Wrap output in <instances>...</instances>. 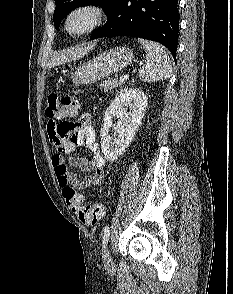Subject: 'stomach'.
Wrapping results in <instances>:
<instances>
[{
  "label": "stomach",
  "mask_w": 233,
  "mask_h": 294,
  "mask_svg": "<svg viewBox=\"0 0 233 294\" xmlns=\"http://www.w3.org/2000/svg\"><path fill=\"white\" fill-rule=\"evenodd\" d=\"M132 61L133 51L131 49L116 47L80 65L72 73L71 78L75 86L92 84L124 69Z\"/></svg>",
  "instance_id": "0dacf381"
}]
</instances>
